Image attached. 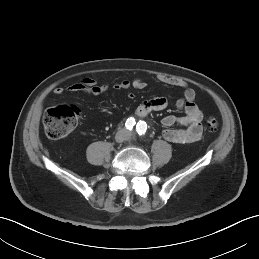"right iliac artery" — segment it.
Returning <instances> with one entry per match:
<instances>
[{"label":"right iliac artery","instance_id":"obj_1","mask_svg":"<svg viewBox=\"0 0 259 259\" xmlns=\"http://www.w3.org/2000/svg\"><path fill=\"white\" fill-rule=\"evenodd\" d=\"M134 125H135V119L133 117L128 118L125 123L126 128L129 130H132Z\"/></svg>","mask_w":259,"mask_h":259}]
</instances>
